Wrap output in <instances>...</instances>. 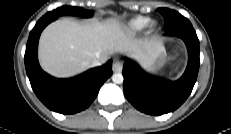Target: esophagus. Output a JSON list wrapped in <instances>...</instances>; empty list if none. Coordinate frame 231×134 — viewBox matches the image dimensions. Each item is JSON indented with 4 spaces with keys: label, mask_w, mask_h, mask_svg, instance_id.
Here are the masks:
<instances>
[{
    "label": "esophagus",
    "mask_w": 231,
    "mask_h": 134,
    "mask_svg": "<svg viewBox=\"0 0 231 134\" xmlns=\"http://www.w3.org/2000/svg\"><path fill=\"white\" fill-rule=\"evenodd\" d=\"M113 72H121L122 69H123V62L120 61V60H116L114 63H113Z\"/></svg>",
    "instance_id": "esophagus-1"
}]
</instances>
